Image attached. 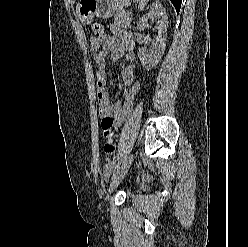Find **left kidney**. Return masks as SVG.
I'll return each instance as SVG.
<instances>
[{"instance_id":"obj_1","label":"left kidney","mask_w":248,"mask_h":247,"mask_svg":"<svg viewBox=\"0 0 248 247\" xmlns=\"http://www.w3.org/2000/svg\"><path fill=\"white\" fill-rule=\"evenodd\" d=\"M148 21H156L155 29L158 31V35L153 40L151 49L148 50L143 47L138 49V57L143 67L150 70L160 62L166 47L168 17L165 9L159 2L152 4L149 12L137 23V28L145 30L148 27Z\"/></svg>"}]
</instances>
